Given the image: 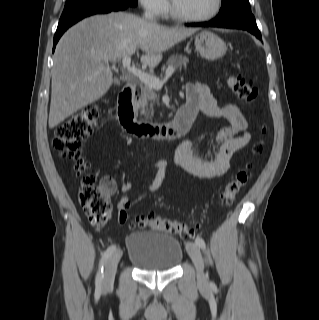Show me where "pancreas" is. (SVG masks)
<instances>
[{
    "mask_svg": "<svg viewBox=\"0 0 319 320\" xmlns=\"http://www.w3.org/2000/svg\"><path fill=\"white\" fill-rule=\"evenodd\" d=\"M189 59L182 55H172L169 58V65L174 68L181 69L182 67H186ZM159 99L155 92V89L144 85L141 88V95L136 102V107L141 111V115L146 116V118H150L154 111V105L158 104Z\"/></svg>",
    "mask_w": 319,
    "mask_h": 320,
    "instance_id": "pancreas-1",
    "label": "pancreas"
}]
</instances>
